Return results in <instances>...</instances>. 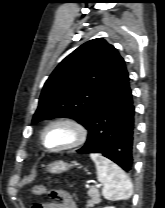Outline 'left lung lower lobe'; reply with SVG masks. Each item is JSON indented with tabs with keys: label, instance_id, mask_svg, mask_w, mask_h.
<instances>
[{
	"label": "left lung lower lobe",
	"instance_id": "1",
	"mask_svg": "<svg viewBox=\"0 0 165 208\" xmlns=\"http://www.w3.org/2000/svg\"><path fill=\"white\" fill-rule=\"evenodd\" d=\"M79 153H101L126 172L133 169L135 107L126 67L96 108Z\"/></svg>",
	"mask_w": 165,
	"mask_h": 208
}]
</instances>
